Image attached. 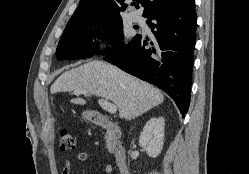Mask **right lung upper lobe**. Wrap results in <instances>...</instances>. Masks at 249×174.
Here are the masks:
<instances>
[{
	"label": "right lung upper lobe",
	"instance_id": "right-lung-upper-lobe-1",
	"mask_svg": "<svg viewBox=\"0 0 249 174\" xmlns=\"http://www.w3.org/2000/svg\"><path fill=\"white\" fill-rule=\"evenodd\" d=\"M125 0H81L78 8L70 18L67 25L78 24L82 22L97 21L106 18L121 17L120 12L127 8ZM131 3L139 8V4L144 7L143 16L149 17L153 13L172 7L183 5L193 0H133ZM118 4H116V3Z\"/></svg>",
	"mask_w": 249,
	"mask_h": 174
}]
</instances>
